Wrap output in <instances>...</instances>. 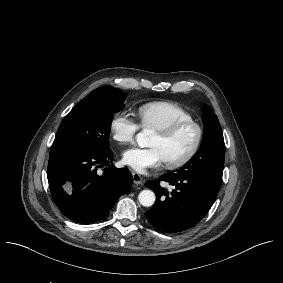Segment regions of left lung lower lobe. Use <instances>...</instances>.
Masks as SVG:
<instances>
[{
    "label": "left lung lower lobe",
    "instance_id": "0a47b994",
    "mask_svg": "<svg viewBox=\"0 0 283 283\" xmlns=\"http://www.w3.org/2000/svg\"><path fill=\"white\" fill-rule=\"evenodd\" d=\"M161 181L172 185L173 190L168 192ZM145 185L156 194L155 204L145 212L146 218L166 233L181 232L197 224L210 210L220 189L199 174L166 173Z\"/></svg>",
    "mask_w": 283,
    "mask_h": 283
}]
</instances>
